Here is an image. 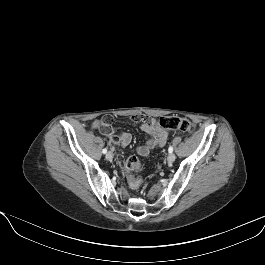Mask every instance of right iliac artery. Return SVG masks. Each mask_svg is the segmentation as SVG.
Segmentation results:
<instances>
[{
    "label": "right iliac artery",
    "instance_id": "right-iliac-artery-1",
    "mask_svg": "<svg viewBox=\"0 0 265 265\" xmlns=\"http://www.w3.org/2000/svg\"><path fill=\"white\" fill-rule=\"evenodd\" d=\"M102 152H103L104 154H106V153H107V149L104 148V149L102 150Z\"/></svg>",
    "mask_w": 265,
    "mask_h": 265
}]
</instances>
